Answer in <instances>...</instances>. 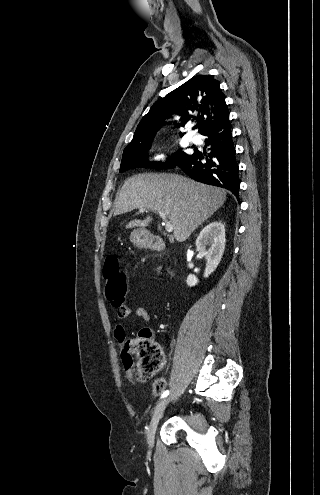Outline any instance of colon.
<instances>
[{
	"instance_id": "1",
	"label": "colon",
	"mask_w": 320,
	"mask_h": 495,
	"mask_svg": "<svg viewBox=\"0 0 320 495\" xmlns=\"http://www.w3.org/2000/svg\"><path fill=\"white\" fill-rule=\"evenodd\" d=\"M103 277L107 299L116 307L117 311L124 308V299L127 293V279L123 272L118 257L108 256L104 263ZM148 329L140 331L136 338L129 339L124 343L126 354L124 362H132L131 354L137 357L136 377L139 381H147L154 376L164 363V352L162 348L149 341ZM166 384L162 379H156L153 384V392L159 395Z\"/></svg>"
}]
</instances>
